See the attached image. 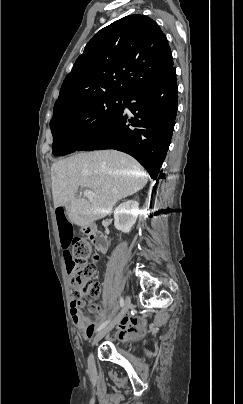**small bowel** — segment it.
<instances>
[{
    "mask_svg": "<svg viewBox=\"0 0 243 404\" xmlns=\"http://www.w3.org/2000/svg\"><path fill=\"white\" fill-rule=\"evenodd\" d=\"M56 220L60 233V241L61 245L64 249L63 257L66 263V267L69 272L73 273V263H72V253L68 250L69 245L71 244L73 238V230L70 223L67 221L64 212L61 207L56 210ZM85 305L84 300H73L71 302V316L74 324L77 329L81 332V335L84 339H89L93 332L95 331L97 325L101 320V314L98 310L95 311V321H91L86 318L81 308ZM118 331L120 333L124 332H136L141 333L145 331V327L142 323H140L135 317L127 316L122 318L118 322Z\"/></svg>",
    "mask_w": 243,
    "mask_h": 404,
    "instance_id": "small-bowel-1",
    "label": "small bowel"
}]
</instances>
